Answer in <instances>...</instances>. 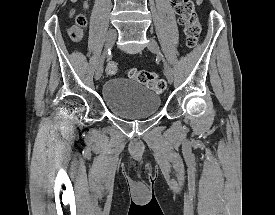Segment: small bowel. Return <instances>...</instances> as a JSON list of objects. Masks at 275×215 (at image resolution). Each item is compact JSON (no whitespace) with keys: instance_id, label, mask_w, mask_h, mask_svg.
Here are the masks:
<instances>
[{"instance_id":"small-bowel-1","label":"small bowel","mask_w":275,"mask_h":215,"mask_svg":"<svg viewBox=\"0 0 275 215\" xmlns=\"http://www.w3.org/2000/svg\"><path fill=\"white\" fill-rule=\"evenodd\" d=\"M197 4H201L203 0H196Z\"/></svg>"}]
</instances>
